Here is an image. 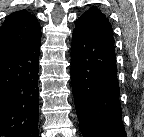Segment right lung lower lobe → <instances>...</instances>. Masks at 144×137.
Wrapping results in <instances>:
<instances>
[{"instance_id": "1", "label": "right lung lower lobe", "mask_w": 144, "mask_h": 137, "mask_svg": "<svg viewBox=\"0 0 144 137\" xmlns=\"http://www.w3.org/2000/svg\"><path fill=\"white\" fill-rule=\"evenodd\" d=\"M40 41L0 56V136L38 137Z\"/></svg>"}]
</instances>
